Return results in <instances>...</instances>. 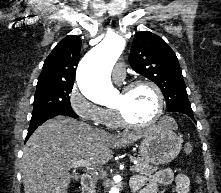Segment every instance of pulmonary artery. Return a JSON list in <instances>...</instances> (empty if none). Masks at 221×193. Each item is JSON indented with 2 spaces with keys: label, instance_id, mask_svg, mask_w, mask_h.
<instances>
[{
  "label": "pulmonary artery",
  "instance_id": "1",
  "mask_svg": "<svg viewBox=\"0 0 221 193\" xmlns=\"http://www.w3.org/2000/svg\"><path fill=\"white\" fill-rule=\"evenodd\" d=\"M126 76L125 67L121 64L115 66L112 71V78L115 82H121Z\"/></svg>",
  "mask_w": 221,
  "mask_h": 193
}]
</instances>
